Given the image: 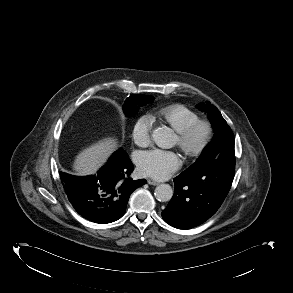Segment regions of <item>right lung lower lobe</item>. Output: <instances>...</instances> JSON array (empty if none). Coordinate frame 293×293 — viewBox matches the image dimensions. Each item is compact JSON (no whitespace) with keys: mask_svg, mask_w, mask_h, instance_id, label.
Masks as SVG:
<instances>
[{"mask_svg":"<svg viewBox=\"0 0 293 293\" xmlns=\"http://www.w3.org/2000/svg\"><path fill=\"white\" fill-rule=\"evenodd\" d=\"M133 164L120 148L96 175L71 176L60 172L66 194L75 210L84 218L99 224L121 218L130 194L146 184L145 179L132 180Z\"/></svg>","mask_w":293,"mask_h":293,"instance_id":"1","label":"right lung lower lobe"}]
</instances>
